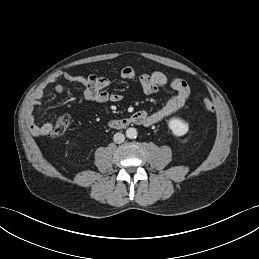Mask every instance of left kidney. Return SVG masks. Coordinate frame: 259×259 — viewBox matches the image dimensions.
<instances>
[{
    "label": "left kidney",
    "instance_id": "5707ae66",
    "mask_svg": "<svg viewBox=\"0 0 259 259\" xmlns=\"http://www.w3.org/2000/svg\"><path fill=\"white\" fill-rule=\"evenodd\" d=\"M168 127L177 137L184 136L189 130V125L178 118L170 119L168 122Z\"/></svg>",
    "mask_w": 259,
    "mask_h": 259
}]
</instances>
